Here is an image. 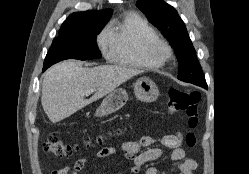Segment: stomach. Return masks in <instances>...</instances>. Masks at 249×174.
<instances>
[{
	"mask_svg": "<svg viewBox=\"0 0 249 174\" xmlns=\"http://www.w3.org/2000/svg\"><path fill=\"white\" fill-rule=\"evenodd\" d=\"M134 93L143 102H153L159 95L156 84L148 78H140L134 83ZM128 100L125 89L118 88L109 93L96 110V116H105L121 109Z\"/></svg>",
	"mask_w": 249,
	"mask_h": 174,
	"instance_id": "0dacf381",
	"label": "stomach"
}]
</instances>
